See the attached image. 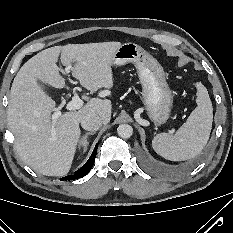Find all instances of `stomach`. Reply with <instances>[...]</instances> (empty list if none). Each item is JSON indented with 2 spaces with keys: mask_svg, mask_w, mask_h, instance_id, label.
<instances>
[{
  "mask_svg": "<svg viewBox=\"0 0 233 233\" xmlns=\"http://www.w3.org/2000/svg\"><path fill=\"white\" fill-rule=\"evenodd\" d=\"M132 63L137 69L142 85V103L150 120L161 125L170 116L173 97L165 79V72L158 61L139 45L121 44L112 59L113 66Z\"/></svg>",
  "mask_w": 233,
  "mask_h": 233,
  "instance_id": "0dacf381",
  "label": "stomach"
}]
</instances>
